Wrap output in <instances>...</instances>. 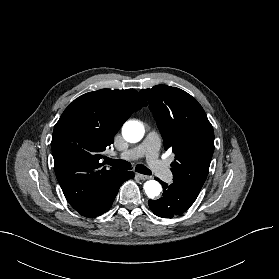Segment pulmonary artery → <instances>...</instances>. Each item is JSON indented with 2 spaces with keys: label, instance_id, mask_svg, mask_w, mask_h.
Here are the masks:
<instances>
[{
  "label": "pulmonary artery",
  "instance_id": "obj_1",
  "mask_svg": "<svg viewBox=\"0 0 279 279\" xmlns=\"http://www.w3.org/2000/svg\"><path fill=\"white\" fill-rule=\"evenodd\" d=\"M160 137L155 132H150L145 140L137 147L121 154L123 159H137L146 157L151 169L163 180L171 178V172L166 164L159 159Z\"/></svg>",
  "mask_w": 279,
  "mask_h": 279
}]
</instances>
